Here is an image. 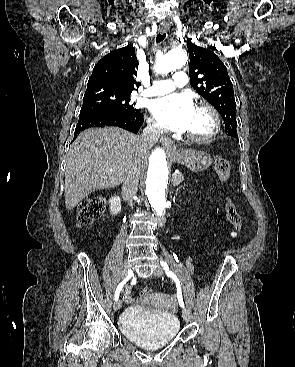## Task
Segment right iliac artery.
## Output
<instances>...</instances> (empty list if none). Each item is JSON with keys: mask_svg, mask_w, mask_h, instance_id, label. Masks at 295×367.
<instances>
[{"mask_svg": "<svg viewBox=\"0 0 295 367\" xmlns=\"http://www.w3.org/2000/svg\"><path fill=\"white\" fill-rule=\"evenodd\" d=\"M133 276V272L131 270L128 271V275L127 277L121 282L119 283V285L117 286V289L115 291V301H117L119 299V295L120 292L124 286V284Z\"/></svg>", "mask_w": 295, "mask_h": 367, "instance_id": "right-iliac-artery-1", "label": "right iliac artery"}]
</instances>
